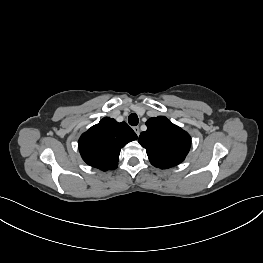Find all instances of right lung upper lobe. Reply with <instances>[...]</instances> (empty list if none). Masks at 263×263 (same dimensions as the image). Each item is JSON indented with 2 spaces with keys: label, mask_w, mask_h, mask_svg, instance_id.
<instances>
[{
  "label": "right lung upper lobe",
  "mask_w": 263,
  "mask_h": 263,
  "mask_svg": "<svg viewBox=\"0 0 263 263\" xmlns=\"http://www.w3.org/2000/svg\"><path fill=\"white\" fill-rule=\"evenodd\" d=\"M137 138L126 122L105 117L82 134L79 151L88 165L103 171L115 169L120 149Z\"/></svg>",
  "instance_id": "1"
}]
</instances>
